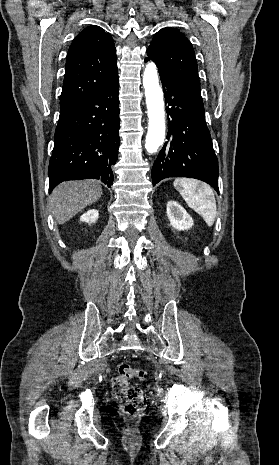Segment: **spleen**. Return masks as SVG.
I'll use <instances>...</instances> for the list:
<instances>
[{
	"label": "spleen",
	"instance_id": "obj_1",
	"mask_svg": "<svg viewBox=\"0 0 279 465\" xmlns=\"http://www.w3.org/2000/svg\"><path fill=\"white\" fill-rule=\"evenodd\" d=\"M173 184L188 206L200 214L208 226H212L217 214L212 189L208 185L187 178L176 179Z\"/></svg>",
	"mask_w": 279,
	"mask_h": 465
}]
</instances>
